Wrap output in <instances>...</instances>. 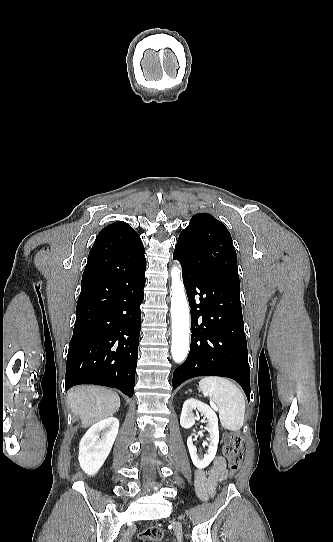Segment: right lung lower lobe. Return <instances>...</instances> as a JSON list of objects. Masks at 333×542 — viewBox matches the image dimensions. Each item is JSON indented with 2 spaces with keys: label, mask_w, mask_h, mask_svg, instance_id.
<instances>
[{
  "label": "right lung lower lobe",
  "mask_w": 333,
  "mask_h": 542,
  "mask_svg": "<svg viewBox=\"0 0 333 542\" xmlns=\"http://www.w3.org/2000/svg\"><path fill=\"white\" fill-rule=\"evenodd\" d=\"M145 270L141 240L89 253L67 355L66 390L97 384L133 396Z\"/></svg>",
  "instance_id": "98d812e1"
}]
</instances>
